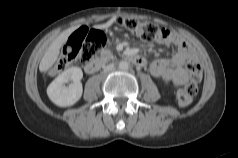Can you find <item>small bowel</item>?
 I'll return each instance as SVG.
<instances>
[{"label":"small bowel","mask_w":238,"mask_h":158,"mask_svg":"<svg viewBox=\"0 0 238 158\" xmlns=\"http://www.w3.org/2000/svg\"><path fill=\"white\" fill-rule=\"evenodd\" d=\"M157 43L176 47L175 53L170 58H159L150 65L151 74L165 82L174 85H183L188 81V73L184 69L185 62L194 56L193 48L178 34L169 32L165 38H160Z\"/></svg>","instance_id":"obj_1"}]
</instances>
